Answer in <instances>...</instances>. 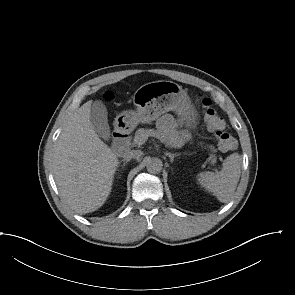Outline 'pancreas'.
Masks as SVG:
<instances>
[{"label":"pancreas","instance_id":"pancreas-1","mask_svg":"<svg viewBox=\"0 0 295 295\" xmlns=\"http://www.w3.org/2000/svg\"><path fill=\"white\" fill-rule=\"evenodd\" d=\"M150 130L149 129H144V128H139L135 132V137H134V140H133V145L134 146L140 145L139 143H140V139H141L142 135L148 134L150 132ZM160 134L163 135V137H164L165 141L167 142V144L173 145V140H174V134L173 133H169V134L160 133ZM209 148H210L211 152H213V153L217 152V149H215L214 146L211 145V146H209Z\"/></svg>","mask_w":295,"mask_h":295}]
</instances>
